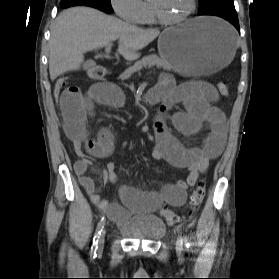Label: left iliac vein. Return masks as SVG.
Wrapping results in <instances>:
<instances>
[{"label":"left iliac vein","instance_id":"obj_1","mask_svg":"<svg viewBox=\"0 0 279 279\" xmlns=\"http://www.w3.org/2000/svg\"><path fill=\"white\" fill-rule=\"evenodd\" d=\"M176 250L178 254H181L183 251V244H182V239L178 237L177 242H176Z\"/></svg>","mask_w":279,"mask_h":279}]
</instances>
